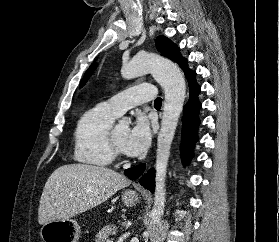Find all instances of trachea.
<instances>
[{"mask_svg": "<svg viewBox=\"0 0 279 242\" xmlns=\"http://www.w3.org/2000/svg\"><path fill=\"white\" fill-rule=\"evenodd\" d=\"M162 105V99L160 97L156 98L154 101V106H161Z\"/></svg>", "mask_w": 279, "mask_h": 242, "instance_id": "3493384b", "label": "trachea"}]
</instances>
